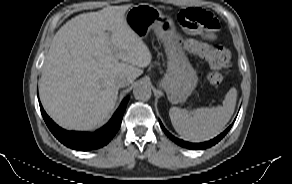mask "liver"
<instances>
[{"label":"liver","mask_w":292,"mask_h":184,"mask_svg":"<svg viewBox=\"0 0 292 184\" xmlns=\"http://www.w3.org/2000/svg\"><path fill=\"white\" fill-rule=\"evenodd\" d=\"M128 8L111 6L80 14L55 34L39 94L59 126L91 130L102 124L116 104V81L127 78L132 83L143 73L140 68L151 63L149 48L125 21Z\"/></svg>","instance_id":"obj_1"}]
</instances>
